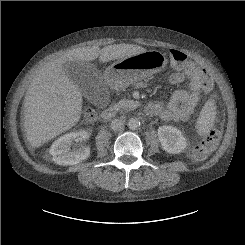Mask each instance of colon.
<instances>
[{"label": "colon", "instance_id": "colon-1", "mask_svg": "<svg viewBox=\"0 0 245 245\" xmlns=\"http://www.w3.org/2000/svg\"><path fill=\"white\" fill-rule=\"evenodd\" d=\"M169 57L172 63L176 66H184L187 63L188 56L176 49H172L169 51ZM199 84L201 88L210 94L212 99L215 98L213 95V81L208 75H201L199 77ZM95 115L92 109H86L84 113V118L86 120L93 118ZM216 122L220 125V119H216ZM221 132L219 129H212L203 139L199 140L193 147L192 157L196 160H202L206 158V156L212 152L218 144L220 139Z\"/></svg>", "mask_w": 245, "mask_h": 245}]
</instances>
